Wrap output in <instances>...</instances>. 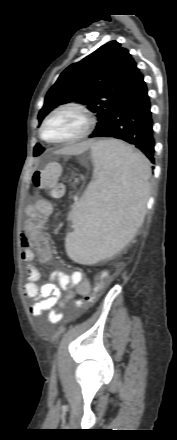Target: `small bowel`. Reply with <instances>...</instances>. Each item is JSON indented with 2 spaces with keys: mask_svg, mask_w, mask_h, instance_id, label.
Returning <instances> with one entry per match:
<instances>
[{
  "mask_svg": "<svg viewBox=\"0 0 177 440\" xmlns=\"http://www.w3.org/2000/svg\"><path fill=\"white\" fill-rule=\"evenodd\" d=\"M28 217L21 239V259L24 263L27 282L23 286V295L32 301L29 307L32 316H40L49 312L51 322H59L63 313L55 310L58 305L71 301L75 296L84 297L90 293V282L80 271L65 273L53 270L48 277L49 282L38 285L40 272L33 265L35 257L47 265L54 263L48 241L43 236L44 220L52 215L53 205L45 200H38L26 207ZM57 282V284L55 283ZM65 292V295H62Z\"/></svg>",
  "mask_w": 177,
  "mask_h": 440,
  "instance_id": "obj_1",
  "label": "small bowel"
}]
</instances>
